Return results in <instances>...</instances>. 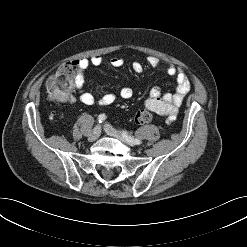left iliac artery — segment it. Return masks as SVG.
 <instances>
[{
    "label": "left iliac artery",
    "instance_id": "44dca946",
    "mask_svg": "<svg viewBox=\"0 0 247 247\" xmlns=\"http://www.w3.org/2000/svg\"><path fill=\"white\" fill-rule=\"evenodd\" d=\"M122 135L127 139V141H129V142H131V143H133L135 145L141 144V140H139L137 138H134L131 135H128V133L126 131H123Z\"/></svg>",
    "mask_w": 247,
    "mask_h": 247
}]
</instances>
